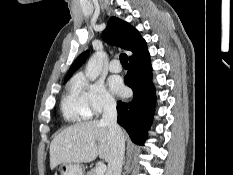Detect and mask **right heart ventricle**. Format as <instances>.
Instances as JSON below:
<instances>
[{
	"label": "right heart ventricle",
	"instance_id": "obj_1",
	"mask_svg": "<svg viewBox=\"0 0 233 175\" xmlns=\"http://www.w3.org/2000/svg\"><path fill=\"white\" fill-rule=\"evenodd\" d=\"M61 112L65 120L80 122L91 118L92 113L74 81L61 102Z\"/></svg>",
	"mask_w": 233,
	"mask_h": 175
}]
</instances>
